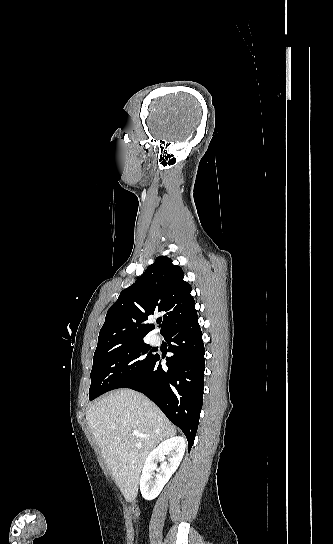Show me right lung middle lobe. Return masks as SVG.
Returning a JSON list of instances; mask_svg holds the SVG:
<instances>
[{"label": "right lung middle lobe", "instance_id": "dd1d6c3e", "mask_svg": "<svg viewBox=\"0 0 333 544\" xmlns=\"http://www.w3.org/2000/svg\"><path fill=\"white\" fill-rule=\"evenodd\" d=\"M155 356L143 338L110 340L97 345L91 371L89 400L135 382Z\"/></svg>", "mask_w": 333, "mask_h": 544}]
</instances>
